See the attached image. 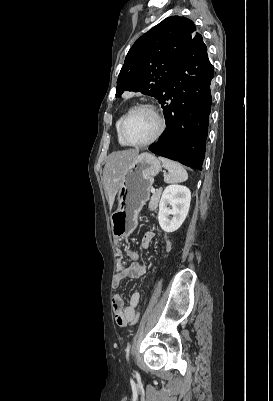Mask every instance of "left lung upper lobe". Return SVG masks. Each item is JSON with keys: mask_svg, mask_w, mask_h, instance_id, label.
<instances>
[{"mask_svg": "<svg viewBox=\"0 0 273 401\" xmlns=\"http://www.w3.org/2000/svg\"><path fill=\"white\" fill-rule=\"evenodd\" d=\"M200 37L188 18L164 19L129 50L118 76L116 97L124 91H134L157 99L190 46Z\"/></svg>", "mask_w": 273, "mask_h": 401, "instance_id": "obj_1", "label": "left lung upper lobe"}]
</instances>
